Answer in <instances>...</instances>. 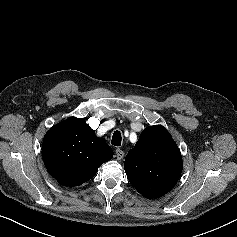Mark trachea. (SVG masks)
<instances>
[{
    "mask_svg": "<svg viewBox=\"0 0 237 237\" xmlns=\"http://www.w3.org/2000/svg\"><path fill=\"white\" fill-rule=\"evenodd\" d=\"M121 140H122V137H121L120 131H115L112 136V141H111L112 145L117 146V147L121 146Z\"/></svg>",
    "mask_w": 237,
    "mask_h": 237,
    "instance_id": "obj_1",
    "label": "trachea"
}]
</instances>
